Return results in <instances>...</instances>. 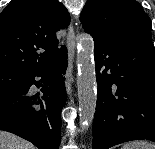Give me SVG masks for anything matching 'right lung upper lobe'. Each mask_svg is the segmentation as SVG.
Here are the masks:
<instances>
[{"label":"right lung upper lobe","mask_w":155,"mask_h":149,"mask_svg":"<svg viewBox=\"0 0 155 149\" xmlns=\"http://www.w3.org/2000/svg\"><path fill=\"white\" fill-rule=\"evenodd\" d=\"M69 21L58 0H13L0 14V69L29 75L54 64L67 52L56 32Z\"/></svg>","instance_id":"right-lung-upper-lobe-1"}]
</instances>
